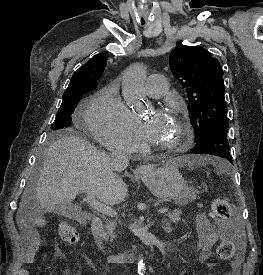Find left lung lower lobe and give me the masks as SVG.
<instances>
[{
	"label": "left lung lower lobe",
	"mask_w": 263,
	"mask_h": 275,
	"mask_svg": "<svg viewBox=\"0 0 263 275\" xmlns=\"http://www.w3.org/2000/svg\"><path fill=\"white\" fill-rule=\"evenodd\" d=\"M227 132L228 126H225L208 133L196 141L190 153L216 155L233 163Z\"/></svg>",
	"instance_id": "obj_1"
}]
</instances>
